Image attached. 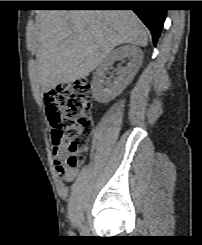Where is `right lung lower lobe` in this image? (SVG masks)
Instances as JSON below:
<instances>
[{
	"label": "right lung lower lobe",
	"mask_w": 202,
	"mask_h": 245,
	"mask_svg": "<svg viewBox=\"0 0 202 245\" xmlns=\"http://www.w3.org/2000/svg\"><path fill=\"white\" fill-rule=\"evenodd\" d=\"M125 3H106V2H89L82 3L80 6L87 7H119L125 6ZM133 7V11L139 16L143 23L148 27L152 33L154 45L160 36L163 28L164 20L166 19V10L157 6L154 1H134L129 5Z\"/></svg>",
	"instance_id": "98d812e1"
}]
</instances>
